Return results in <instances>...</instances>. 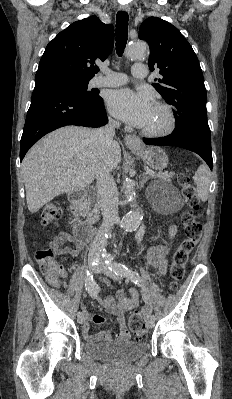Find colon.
I'll use <instances>...</instances> for the list:
<instances>
[{"instance_id": "5ec220e1", "label": "colon", "mask_w": 232, "mask_h": 399, "mask_svg": "<svg viewBox=\"0 0 232 399\" xmlns=\"http://www.w3.org/2000/svg\"><path fill=\"white\" fill-rule=\"evenodd\" d=\"M175 180L184 188L183 195L189 203L188 213H184L178 225V230L185 236L183 244L180 245L178 251H173L172 263L174 269H170V274L166 276L165 283L169 287H179L183 283V278L186 275L184 268L186 262H193V257H190L195 250L197 240L200 237L201 221H197V214L202 209V200L199 193L192 184V179L184 172L179 171L175 175ZM61 215L59 209L55 208L54 203H47L38 216V221L42 225H47L54 218L57 219ZM49 257H54V252H47L45 249H40L36 252V258L40 261L39 268L44 273H56L53 276H47V283H53V290H64L65 277L61 273H57V268H52V263L48 260ZM131 330L134 335H147L148 329L144 328L146 324L145 313L131 314Z\"/></svg>"}]
</instances>
